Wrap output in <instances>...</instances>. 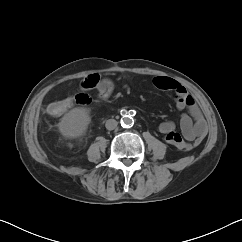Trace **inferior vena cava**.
Returning a JSON list of instances; mask_svg holds the SVG:
<instances>
[{"instance_id":"1","label":"inferior vena cava","mask_w":242,"mask_h":242,"mask_svg":"<svg viewBox=\"0 0 242 242\" xmlns=\"http://www.w3.org/2000/svg\"><path fill=\"white\" fill-rule=\"evenodd\" d=\"M118 125V122L115 119H108L105 123L107 130H114Z\"/></svg>"}]
</instances>
